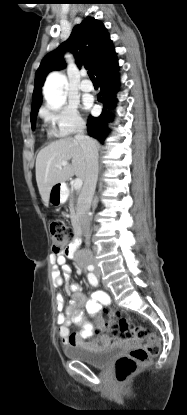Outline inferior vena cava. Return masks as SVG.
<instances>
[{
  "mask_svg": "<svg viewBox=\"0 0 187 415\" xmlns=\"http://www.w3.org/2000/svg\"><path fill=\"white\" fill-rule=\"evenodd\" d=\"M85 128V124L79 125L77 129L78 134L75 136V139L83 149L86 161L84 185L77 203V216L83 230V235L86 241H88L91 234L89 210L98 179V150L94 140L84 135ZM80 254L87 258L92 257V252L89 249L80 251Z\"/></svg>",
  "mask_w": 187,
  "mask_h": 415,
  "instance_id": "inferior-vena-cava-1",
  "label": "inferior vena cava"
}]
</instances>
